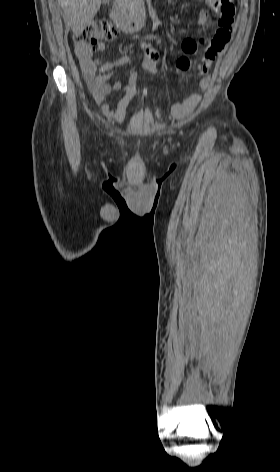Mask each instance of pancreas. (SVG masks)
<instances>
[{"instance_id":"obj_1","label":"pancreas","mask_w":280,"mask_h":472,"mask_svg":"<svg viewBox=\"0 0 280 472\" xmlns=\"http://www.w3.org/2000/svg\"><path fill=\"white\" fill-rule=\"evenodd\" d=\"M118 2H130L131 0H117Z\"/></svg>"}]
</instances>
